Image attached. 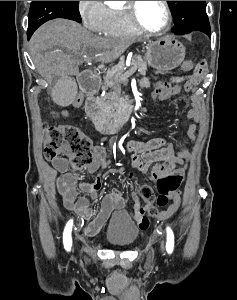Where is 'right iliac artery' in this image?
<instances>
[{"label":"right iliac artery","instance_id":"1","mask_svg":"<svg viewBox=\"0 0 237 300\" xmlns=\"http://www.w3.org/2000/svg\"><path fill=\"white\" fill-rule=\"evenodd\" d=\"M72 225H73V220H70L65 229H64V233H63V243H64V248L67 251L71 250V246H72V238H71V231H72Z\"/></svg>","mask_w":237,"mask_h":300}]
</instances>
